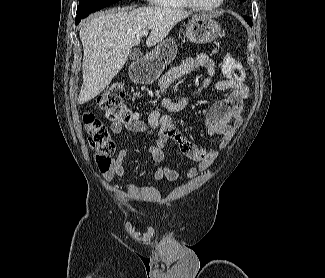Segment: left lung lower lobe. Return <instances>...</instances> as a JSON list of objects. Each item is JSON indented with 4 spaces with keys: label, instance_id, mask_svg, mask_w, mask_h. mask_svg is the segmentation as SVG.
Here are the masks:
<instances>
[{
    "label": "left lung lower lobe",
    "instance_id": "1",
    "mask_svg": "<svg viewBox=\"0 0 325 278\" xmlns=\"http://www.w3.org/2000/svg\"><path fill=\"white\" fill-rule=\"evenodd\" d=\"M244 19L247 21V23L250 25V26H252V20H251V18L250 17H244Z\"/></svg>",
    "mask_w": 325,
    "mask_h": 278
}]
</instances>
